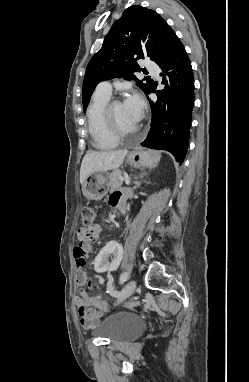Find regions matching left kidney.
Here are the masks:
<instances>
[{"instance_id":"left-kidney-1","label":"left kidney","mask_w":249,"mask_h":382,"mask_svg":"<svg viewBox=\"0 0 249 382\" xmlns=\"http://www.w3.org/2000/svg\"><path fill=\"white\" fill-rule=\"evenodd\" d=\"M125 257V245H119L118 241H110L104 245V249L93 262L96 273H116L117 267L123 266ZM112 280L110 277L107 279Z\"/></svg>"}]
</instances>
